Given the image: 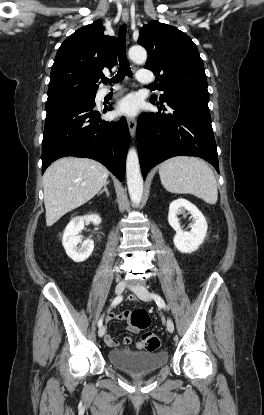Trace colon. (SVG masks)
<instances>
[{"mask_svg": "<svg viewBox=\"0 0 264 415\" xmlns=\"http://www.w3.org/2000/svg\"><path fill=\"white\" fill-rule=\"evenodd\" d=\"M130 322L133 326L145 330L150 325V318L143 310H135L130 314ZM142 345L146 351L154 352L160 346L159 338L150 331H145L142 334Z\"/></svg>", "mask_w": 264, "mask_h": 415, "instance_id": "1", "label": "colon"}]
</instances>
